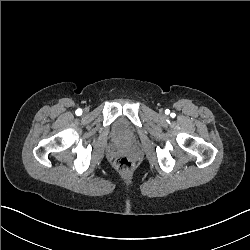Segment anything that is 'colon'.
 Instances as JSON below:
<instances>
[{
  "label": "colon",
  "instance_id": "obj_1",
  "mask_svg": "<svg viewBox=\"0 0 250 250\" xmlns=\"http://www.w3.org/2000/svg\"><path fill=\"white\" fill-rule=\"evenodd\" d=\"M116 169L123 172H133L135 170L136 164L135 161L127 156L121 155L116 158L115 161Z\"/></svg>",
  "mask_w": 250,
  "mask_h": 250
}]
</instances>
